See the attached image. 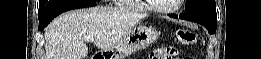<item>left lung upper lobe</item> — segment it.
Instances as JSON below:
<instances>
[{
    "label": "left lung upper lobe",
    "mask_w": 261,
    "mask_h": 59,
    "mask_svg": "<svg viewBox=\"0 0 261 59\" xmlns=\"http://www.w3.org/2000/svg\"><path fill=\"white\" fill-rule=\"evenodd\" d=\"M186 11L216 15V3L215 0H187Z\"/></svg>",
    "instance_id": "5c2ea615"
}]
</instances>
